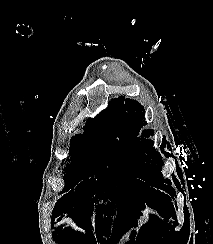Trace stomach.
Segmentation results:
<instances>
[{
  "mask_svg": "<svg viewBox=\"0 0 213 244\" xmlns=\"http://www.w3.org/2000/svg\"><path fill=\"white\" fill-rule=\"evenodd\" d=\"M118 243H119V244H124V243H125V240H124V239H119V240H118Z\"/></svg>",
  "mask_w": 213,
  "mask_h": 244,
  "instance_id": "0dacf381",
  "label": "stomach"
}]
</instances>
